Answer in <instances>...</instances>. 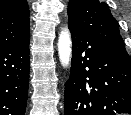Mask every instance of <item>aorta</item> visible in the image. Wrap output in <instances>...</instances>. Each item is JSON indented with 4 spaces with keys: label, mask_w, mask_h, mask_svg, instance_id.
Returning a JSON list of instances; mask_svg holds the SVG:
<instances>
[{
    "label": "aorta",
    "mask_w": 131,
    "mask_h": 115,
    "mask_svg": "<svg viewBox=\"0 0 131 115\" xmlns=\"http://www.w3.org/2000/svg\"><path fill=\"white\" fill-rule=\"evenodd\" d=\"M71 36L68 29L61 31L58 40V54L63 67H67L71 60Z\"/></svg>",
    "instance_id": "1"
}]
</instances>
